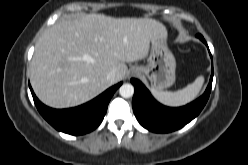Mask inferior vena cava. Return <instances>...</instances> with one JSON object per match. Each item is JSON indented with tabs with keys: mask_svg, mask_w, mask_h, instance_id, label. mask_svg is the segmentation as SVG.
Masks as SVG:
<instances>
[{
	"mask_svg": "<svg viewBox=\"0 0 248 165\" xmlns=\"http://www.w3.org/2000/svg\"><path fill=\"white\" fill-rule=\"evenodd\" d=\"M115 78H116V72H115V71H110V72L107 74V80H108V81L114 82V81H115Z\"/></svg>",
	"mask_w": 248,
	"mask_h": 165,
	"instance_id": "inferior-vena-cava-1",
	"label": "inferior vena cava"
}]
</instances>
